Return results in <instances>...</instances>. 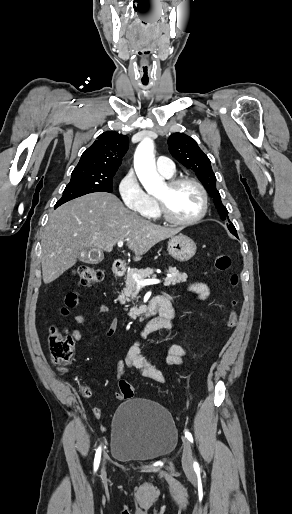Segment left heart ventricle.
<instances>
[{"label": "left heart ventricle", "mask_w": 292, "mask_h": 514, "mask_svg": "<svg viewBox=\"0 0 292 514\" xmlns=\"http://www.w3.org/2000/svg\"><path fill=\"white\" fill-rule=\"evenodd\" d=\"M164 201L169 213L176 219L188 220L200 209V195L195 187L189 184L169 189L165 184L155 195Z\"/></svg>", "instance_id": "1"}]
</instances>
